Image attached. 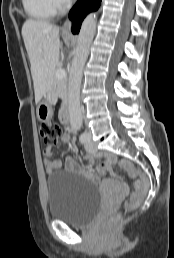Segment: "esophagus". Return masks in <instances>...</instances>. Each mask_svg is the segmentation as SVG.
Returning <instances> with one entry per match:
<instances>
[{"instance_id":"esophagus-1","label":"esophagus","mask_w":174,"mask_h":258,"mask_svg":"<svg viewBox=\"0 0 174 258\" xmlns=\"http://www.w3.org/2000/svg\"><path fill=\"white\" fill-rule=\"evenodd\" d=\"M70 26H71L70 21L67 20V21L65 22V24H64V28L67 30V29H70Z\"/></svg>"}]
</instances>
